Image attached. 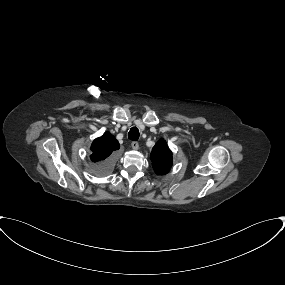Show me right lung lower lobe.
Instances as JSON below:
<instances>
[{
    "label": "right lung lower lobe",
    "mask_w": 285,
    "mask_h": 285,
    "mask_svg": "<svg viewBox=\"0 0 285 285\" xmlns=\"http://www.w3.org/2000/svg\"><path fill=\"white\" fill-rule=\"evenodd\" d=\"M112 169V162L110 160L104 161L99 168L95 171L97 175H105L108 174Z\"/></svg>",
    "instance_id": "right-lung-lower-lobe-1"
}]
</instances>
